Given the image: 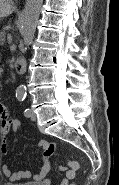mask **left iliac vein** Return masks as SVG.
I'll return each mask as SVG.
<instances>
[{"label": "left iliac vein", "mask_w": 119, "mask_h": 185, "mask_svg": "<svg viewBox=\"0 0 119 185\" xmlns=\"http://www.w3.org/2000/svg\"><path fill=\"white\" fill-rule=\"evenodd\" d=\"M29 117L31 118V120H36V114L32 109L29 110Z\"/></svg>", "instance_id": "left-iliac-vein-1"}]
</instances>
